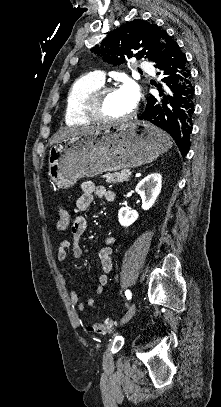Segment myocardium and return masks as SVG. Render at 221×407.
Instances as JSON below:
<instances>
[{"label": "myocardium", "mask_w": 221, "mask_h": 407, "mask_svg": "<svg viewBox=\"0 0 221 407\" xmlns=\"http://www.w3.org/2000/svg\"><path fill=\"white\" fill-rule=\"evenodd\" d=\"M117 90V87L115 85H104L98 88L88 99L84 111L86 113V116L92 120V121H97V122H103V123H110V124H116V123H122L125 122L129 119H131L135 114H136V109L134 108L130 113L118 117V118H112L108 115H106L104 111V99L106 95L112 91Z\"/></svg>", "instance_id": "myocardium-1"}]
</instances>
